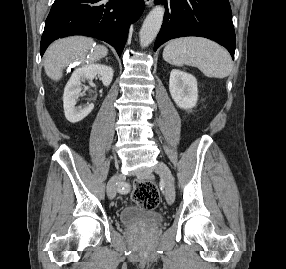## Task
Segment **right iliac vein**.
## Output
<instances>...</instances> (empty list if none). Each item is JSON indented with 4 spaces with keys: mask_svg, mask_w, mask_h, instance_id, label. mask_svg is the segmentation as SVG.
Listing matches in <instances>:
<instances>
[{
    "mask_svg": "<svg viewBox=\"0 0 286 269\" xmlns=\"http://www.w3.org/2000/svg\"><path fill=\"white\" fill-rule=\"evenodd\" d=\"M123 178L121 173H116L114 176L111 177L107 184V194L110 199H113L116 196V187L117 183Z\"/></svg>",
    "mask_w": 286,
    "mask_h": 269,
    "instance_id": "63e3f726",
    "label": "right iliac vein"
}]
</instances>
